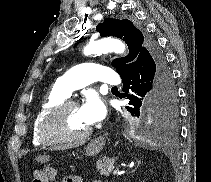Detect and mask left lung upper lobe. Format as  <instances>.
<instances>
[{"label":"left lung upper lobe","mask_w":211,"mask_h":182,"mask_svg":"<svg viewBox=\"0 0 211 182\" xmlns=\"http://www.w3.org/2000/svg\"><path fill=\"white\" fill-rule=\"evenodd\" d=\"M96 31L100 32L103 37L115 36L123 39L128 45V56L112 61V66L116 68L119 75L125 73L134 64L139 53L149 44L148 40H144L142 32L131 21L126 19H105L103 23L96 27ZM176 115L177 112L166 124L173 123Z\"/></svg>","instance_id":"left-lung-upper-lobe-1"}]
</instances>
